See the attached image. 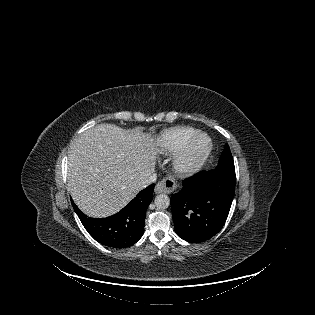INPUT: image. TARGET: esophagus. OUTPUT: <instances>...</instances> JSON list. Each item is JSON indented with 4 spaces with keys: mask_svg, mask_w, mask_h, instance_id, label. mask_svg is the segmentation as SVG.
<instances>
[{
    "mask_svg": "<svg viewBox=\"0 0 315 315\" xmlns=\"http://www.w3.org/2000/svg\"><path fill=\"white\" fill-rule=\"evenodd\" d=\"M177 188L176 182L172 177H166L160 180L155 186V193H171Z\"/></svg>",
    "mask_w": 315,
    "mask_h": 315,
    "instance_id": "34e87169",
    "label": "esophagus"
}]
</instances>
